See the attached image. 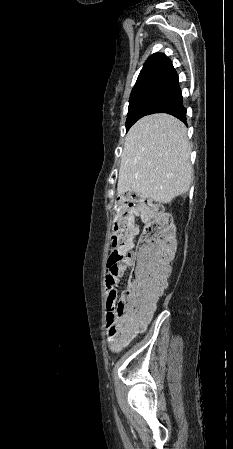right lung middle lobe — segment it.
<instances>
[{
    "instance_id": "obj_1",
    "label": "right lung middle lobe",
    "mask_w": 233,
    "mask_h": 449,
    "mask_svg": "<svg viewBox=\"0 0 233 449\" xmlns=\"http://www.w3.org/2000/svg\"><path fill=\"white\" fill-rule=\"evenodd\" d=\"M181 100V91L175 89H152L132 94L129 100L126 129L128 130L141 117L159 112Z\"/></svg>"
}]
</instances>
